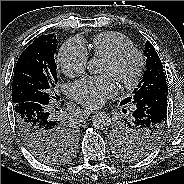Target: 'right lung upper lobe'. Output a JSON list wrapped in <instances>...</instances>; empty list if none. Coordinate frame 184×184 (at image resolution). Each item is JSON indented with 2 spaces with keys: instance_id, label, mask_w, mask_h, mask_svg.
<instances>
[{
  "instance_id": "1",
  "label": "right lung upper lobe",
  "mask_w": 184,
  "mask_h": 184,
  "mask_svg": "<svg viewBox=\"0 0 184 184\" xmlns=\"http://www.w3.org/2000/svg\"><path fill=\"white\" fill-rule=\"evenodd\" d=\"M45 36L46 35L40 36V37L37 38V40L43 39V38H45Z\"/></svg>"
}]
</instances>
